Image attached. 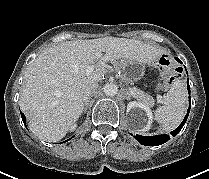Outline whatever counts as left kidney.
<instances>
[{
  "mask_svg": "<svg viewBox=\"0 0 209 179\" xmlns=\"http://www.w3.org/2000/svg\"><path fill=\"white\" fill-rule=\"evenodd\" d=\"M127 114L130 117V121L134 126H140L139 117L145 114V126L143 128L144 131H147L152 124L153 115L149 108V106L140 103V102H129L127 105Z\"/></svg>",
  "mask_w": 209,
  "mask_h": 179,
  "instance_id": "left-kidney-1",
  "label": "left kidney"
}]
</instances>
